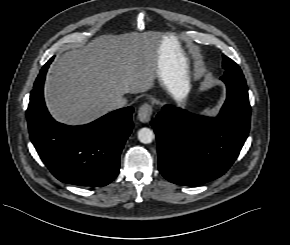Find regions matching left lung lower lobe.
I'll list each match as a JSON object with an SVG mask.
<instances>
[{"label":"left lung lower lobe","mask_w":290,"mask_h":245,"mask_svg":"<svg viewBox=\"0 0 290 245\" xmlns=\"http://www.w3.org/2000/svg\"><path fill=\"white\" fill-rule=\"evenodd\" d=\"M227 98L215 118L165 105L151 121L158 167L170 182L196 186L223 175L248 136L251 107L243 74H224Z\"/></svg>","instance_id":"0a47b994"}]
</instances>
